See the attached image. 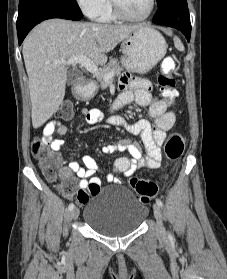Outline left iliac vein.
Returning a JSON list of instances; mask_svg holds the SVG:
<instances>
[{"mask_svg":"<svg viewBox=\"0 0 227 279\" xmlns=\"http://www.w3.org/2000/svg\"><path fill=\"white\" fill-rule=\"evenodd\" d=\"M153 210H154V215H155L156 220H157V231H158V234L160 236H164L166 234V231H165V229L163 227V223H162L161 207L158 204H154Z\"/></svg>","mask_w":227,"mask_h":279,"instance_id":"1","label":"left iliac vein"}]
</instances>
